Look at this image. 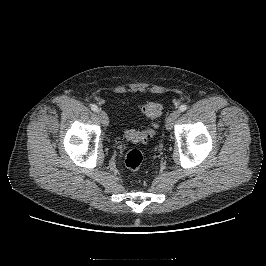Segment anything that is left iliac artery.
<instances>
[{
    "mask_svg": "<svg viewBox=\"0 0 266 266\" xmlns=\"http://www.w3.org/2000/svg\"><path fill=\"white\" fill-rule=\"evenodd\" d=\"M187 105L186 104H182L180 107H179V111L180 112H184V111H186L187 110Z\"/></svg>",
    "mask_w": 266,
    "mask_h": 266,
    "instance_id": "left-iliac-artery-1",
    "label": "left iliac artery"
}]
</instances>
